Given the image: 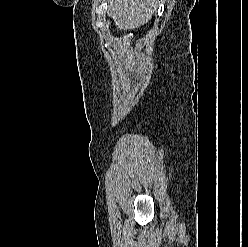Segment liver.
<instances>
[{"instance_id": "liver-1", "label": "liver", "mask_w": 248, "mask_h": 247, "mask_svg": "<svg viewBox=\"0 0 248 247\" xmlns=\"http://www.w3.org/2000/svg\"><path fill=\"white\" fill-rule=\"evenodd\" d=\"M155 0H108V15L119 30H132L147 23L155 11Z\"/></svg>"}]
</instances>
